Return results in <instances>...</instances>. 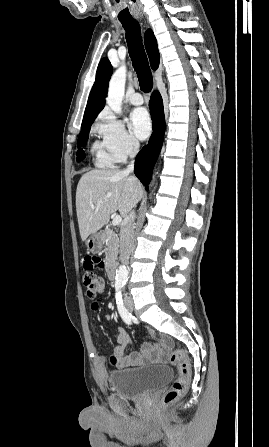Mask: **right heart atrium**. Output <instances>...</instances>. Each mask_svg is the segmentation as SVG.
I'll return each instance as SVG.
<instances>
[{
	"instance_id": "d8ad5b80",
	"label": "right heart atrium",
	"mask_w": 269,
	"mask_h": 447,
	"mask_svg": "<svg viewBox=\"0 0 269 447\" xmlns=\"http://www.w3.org/2000/svg\"><path fill=\"white\" fill-rule=\"evenodd\" d=\"M95 130L102 137L103 142L116 160H123L132 156L139 146L136 138L109 110L102 112L95 125Z\"/></svg>"
}]
</instances>
